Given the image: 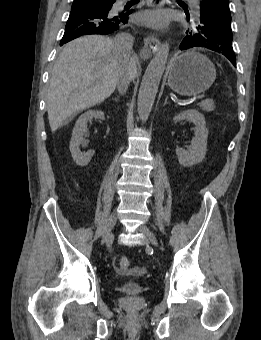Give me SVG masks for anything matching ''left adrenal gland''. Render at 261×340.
<instances>
[{
    "instance_id": "1",
    "label": "left adrenal gland",
    "mask_w": 261,
    "mask_h": 340,
    "mask_svg": "<svg viewBox=\"0 0 261 340\" xmlns=\"http://www.w3.org/2000/svg\"><path fill=\"white\" fill-rule=\"evenodd\" d=\"M167 99H168V97L165 98V101H164L163 106L167 105V103H168V102H167Z\"/></svg>"
}]
</instances>
